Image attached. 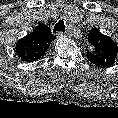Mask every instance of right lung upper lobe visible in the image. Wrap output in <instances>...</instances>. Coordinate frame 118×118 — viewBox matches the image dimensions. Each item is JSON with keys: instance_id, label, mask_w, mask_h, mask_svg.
<instances>
[{"instance_id": "right-lung-upper-lobe-1", "label": "right lung upper lobe", "mask_w": 118, "mask_h": 118, "mask_svg": "<svg viewBox=\"0 0 118 118\" xmlns=\"http://www.w3.org/2000/svg\"><path fill=\"white\" fill-rule=\"evenodd\" d=\"M54 39L51 29L45 24H39L31 34L17 42L15 51L23 61H36L45 55Z\"/></svg>"}]
</instances>
